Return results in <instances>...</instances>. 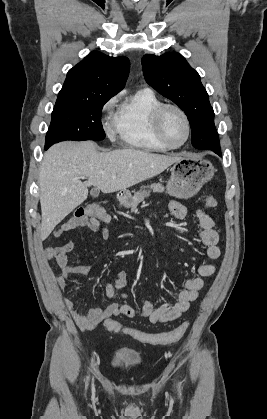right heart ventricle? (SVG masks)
<instances>
[{
  "label": "right heart ventricle",
  "instance_id": "e07e8e85",
  "mask_svg": "<svg viewBox=\"0 0 267 419\" xmlns=\"http://www.w3.org/2000/svg\"><path fill=\"white\" fill-rule=\"evenodd\" d=\"M161 104V99L149 88L137 90L128 96L113 118L120 139L134 148L167 152L169 148L158 140L152 126L153 112Z\"/></svg>",
  "mask_w": 267,
  "mask_h": 419
}]
</instances>
